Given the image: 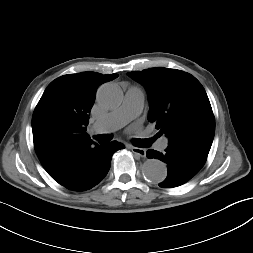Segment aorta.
Here are the masks:
<instances>
[{
  "instance_id": "obj_1",
  "label": "aorta",
  "mask_w": 253,
  "mask_h": 253,
  "mask_svg": "<svg viewBox=\"0 0 253 253\" xmlns=\"http://www.w3.org/2000/svg\"><path fill=\"white\" fill-rule=\"evenodd\" d=\"M122 99L121 89L113 83L102 85L97 92V101L103 108H116L121 104ZM142 173L151 182L160 183L167 176V167L158 159H148L143 163Z\"/></svg>"
}]
</instances>
